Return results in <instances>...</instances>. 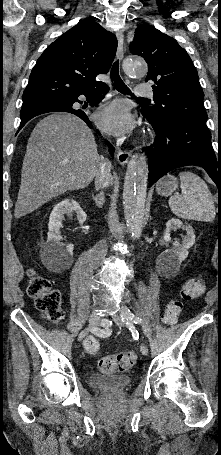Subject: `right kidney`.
Listing matches in <instances>:
<instances>
[{"label": "right kidney", "mask_w": 221, "mask_h": 455, "mask_svg": "<svg viewBox=\"0 0 221 455\" xmlns=\"http://www.w3.org/2000/svg\"><path fill=\"white\" fill-rule=\"evenodd\" d=\"M73 213L76 214L77 220L82 225L87 215L80 204L72 199H65L56 204L50 214L48 238L40 251L43 263L50 269H65L72 262L74 245H66L61 242L60 228L64 215L72 216Z\"/></svg>", "instance_id": "right-kidney-1"}]
</instances>
